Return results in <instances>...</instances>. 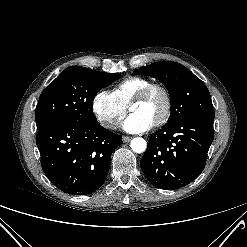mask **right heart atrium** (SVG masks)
I'll use <instances>...</instances> for the list:
<instances>
[{
  "label": "right heart atrium",
  "instance_id": "1",
  "mask_svg": "<svg viewBox=\"0 0 247 247\" xmlns=\"http://www.w3.org/2000/svg\"><path fill=\"white\" fill-rule=\"evenodd\" d=\"M92 110L98 122L106 129H114L124 117L126 107L105 89H101L92 99Z\"/></svg>",
  "mask_w": 247,
  "mask_h": 247
}]
</instances>
